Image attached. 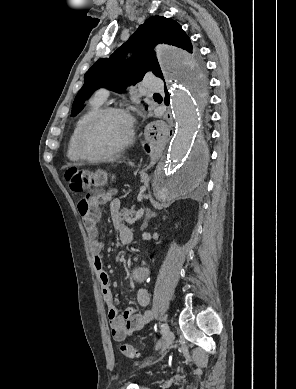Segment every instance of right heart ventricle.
<instances>
[{
    "label": "right heart ventricle",
    "mask_w": 296,
    "mask_h": 389,
    "mask_svg": "<svg viewBox=\"0 0 296 389\" xmlns=\"http://www.w3.org/2000/svg\"><path fill=\"white\" fill-rule=\"evenodd\" d=\"M103 102L104 101L97 98L96 96L93 97L89 101L88 107L85 110V112L79 117V119L75 123L74 129L69 138L68 146H67V157L71 161L77 162L82 159L77 149V140H78L80 129L83 126V124L86 122V120L101 108Z\"/></svg>",
    "instance_id": "obj_1"
}]
</instances>
